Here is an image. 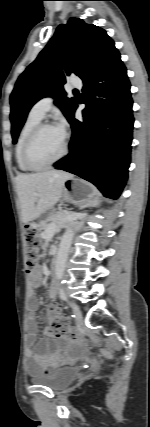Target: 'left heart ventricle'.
<instances>
[{
  "label": "left heart ventricle",
  "mask_w": 150,
  "mask_h": 427,
  "mask_svg": "<svg viewBox=\"0 0 150 427\" xmlns=\"http://www.w3.org/2000/svg\"><path fill=\"white\" fill-rule=\"evenodd\" d=\"M64 143L65 135L58 127L44 129L31 145L30 160L36 165L48 163L62 152Z\"/></svg>",
  "instance_id": "obj_1"
}]
</instances>
